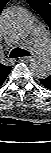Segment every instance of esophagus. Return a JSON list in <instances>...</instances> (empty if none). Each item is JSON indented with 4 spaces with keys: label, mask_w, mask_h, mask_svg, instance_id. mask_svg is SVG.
I'll return each instance as SVG.
<instances>
[{
    "label": "esophagus",
    "mask_w": 51,
    "mask_h": 153,
    "mask_svg": "<svg viewBox=\"0 0 51 153\" xmlns=\"http://www.w3.org/2000/svg\"><path fill=\"white\" fill-rule=\"evenodd\" d=\"M32 58V56H25V57H21L20 60L21 61H28Z\"/></svg>",
    "instance_id": "esophagus-1"
}]
</instances>
